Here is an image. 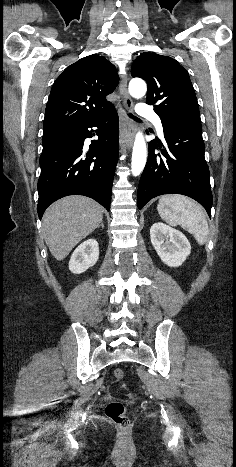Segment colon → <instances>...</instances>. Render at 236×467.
<instances>
[{
	"label": "colon",
	"mask_w": 236,
	"mask_h": 467,
	"mask_svg": "<svg viewBox=\"0 0 236 467\" xmlns=\"http://www.w3.org/2000/svg\"><path fill=\"white\" fill-rule=\"evenodd\" d=\"M114 376L119 381H123L125 378L123 370L119 368L114 370ZM105 415L111 422L119 426L124 431L128 430L131 426L130 420L126 416L125 405L120 401L109 403L105 408Z\"/></svg>",
	"instance_id": "1"
}]
</instances>
